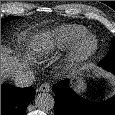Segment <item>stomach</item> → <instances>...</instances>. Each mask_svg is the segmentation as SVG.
I'll return each mask as SVG.
<instances>
[{
  "label": "stomach",
  "mask_w": 115,
  "mask_h": 115,
  "mask_svg": "<svg viewBox=\"0 0 115 115\" xmlns=\"http://www.w3.org/2000/svg\"><path fill=\"white\" fill-rule=\"evenodd\" d=\"M78 89L80 91H84L86 89V84L84 82H80V84L78 85Z\"/></svg>",
  "instance_id": "stomach-1"
}]
</instances>
